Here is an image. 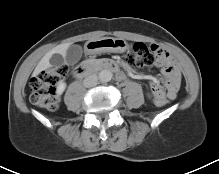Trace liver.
Returning <instances> with one entry per match:
<instances>
[{"label": "liver", "mask_w": 219, "mask_h": 174, "mask_svg": "<svg viewBox=\"0 0 219 174\" xmlns=\"http://www.w3.org/2000/svg\"><path fill=\"white\" fill-rule=\"evenodd\" d=\"M70 44L66 43V44H60L58 46H56L55 48H53L52 50H50L48 53H46L43 58L40 60V62L38 63V65L36 66L33 75L36 76L38 75L41 71L46 70L48 68L51 67V64L49 62L50 58L52 57L53 54H61L63 56L66 55V51L69 48Z\"/></svg>", "instance_id": "liver-1"}]
</instances>
